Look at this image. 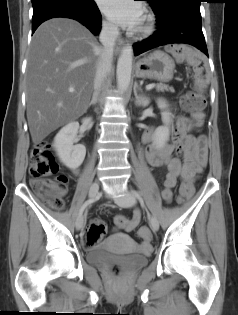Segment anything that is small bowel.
<instances>
[{
  "label": "small bowel",
  "instance_id": "1",
  "mask_svg": "<svg viewBox=\"0 0 238 315\" xmlns=\"http://www.w3.org/2000/svg\"><path fill=\"white\" fill-rule=\"evenodd\" d=\"M190 128L189 120L180 119L177 123V134L173 143L158 147L151 142L145 151V157L152 167H164L167 170L162 190V197L167 202L173 199V189L178 179L182 180L180 190L185 186H189L193 190L195 176L202 170L207 161L206 138L204 136L193 137L188 135L187 131ZM152 138L153 136L150 133L144 135L145 141H151ZM175 153L184 154L185 162L182 166ZM65 192V190H62L61 194H65ZM141 217V211L135 209L132 217L127 221L125 230L131 231L136 228L141 221ZM140 248L145 252L151 250L149 238L140 243Z\"/></svg>",
  "mask_w": 238,
  "mask_h": 315
}]
</instances>
